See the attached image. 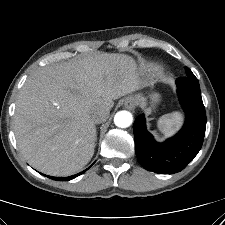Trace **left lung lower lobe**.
Returning <instances> with one entry per match:
<instances>
[{"label":"left lung lower lobe","mask_w":225,"mask_h":225,"mask_svg":"<svg viewBox=\"0 0 225 225\" xmlns=\"http://www.w3.org/2000/svg\"><path fill=\"white\" fill-rule=\"evenodd\" d=\"M178 96L186 113L180 132L164 143H157L147 132L145 117L134 122L135 151L138 162L148 171L174 174L183 170L202 147L206 129V113L197 78L176 80Z\"/></svg>","instance_id":"obj_1"}]
</instances>
